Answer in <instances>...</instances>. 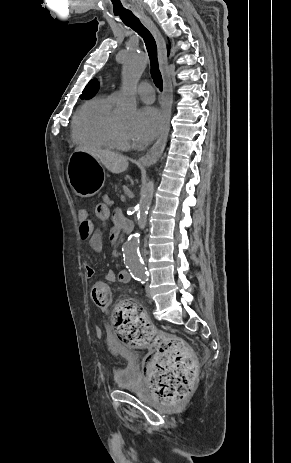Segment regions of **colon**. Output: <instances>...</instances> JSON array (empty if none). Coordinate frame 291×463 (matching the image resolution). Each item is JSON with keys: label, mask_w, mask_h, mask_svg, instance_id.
Segmentation results:
<instances>
[{"label": "colon", "mask_w": 291, "mask_h": 463, "mask_svg": "<svg viewBox=\"0 0 291 463\" xmlns=\"http://www.w3.org/2000/svg\"><path fill=\"white\" fill-rule=\"evenodd\" d=\"M110 217L112 206L93 205V218L98 219L99 224H106ZM91 297L99 308L106 309L112 303V292L105 282L92 286ZM112 326L123 343L154 347V352L144 365V373L159 401L172 404L189 394L196 378V359L182 340L155 333L143 309L133 302H119L114 307Z\"/></svg>", "instance_id": "1"}]
</instances>
